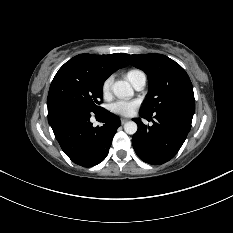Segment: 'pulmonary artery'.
<instances>
[{"label":"pulmonary artery","instance_id":"obj_1","mask_svg":"<svg viewBox=\"0 0 233 233\" xmlns=\"http://www.w3.org/2000/svg\"><path fill=\"white\" fill-rule=\"evenodd\" d=\"M146 85V77L140 78L133 86L136 90H142Z\"/></svg>","mask_w":233,"mask_h":233}]
</instances>
